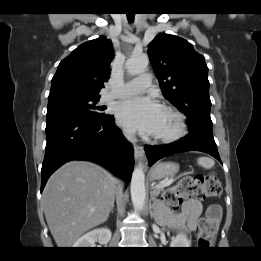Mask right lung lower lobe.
<instances>
[{
    "instance_id": "right-lung-lower-lobe-1",
    "label": "right lung lower lobe",
    "mask_w": 261,
    "mask_h": 261,
    "mask_svg": "<svg viewBox=\"0 0 261 261\" xmlns=\"http://www.w3.org/2000/svg\"><path fill=\"white\" fill-rule=\"evenodd\" d=\"M113 121L112 115L101 118L64 115L47 119L41 192L50 175L70 160L96 162L128 183L134 167V150Z\"/></svg>"
}]
</instances>
